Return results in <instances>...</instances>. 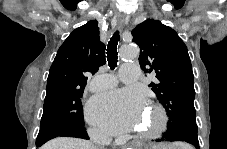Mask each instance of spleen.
<instances>
[{
	"label": "spleen",
	"instance_id": "1",
	"mask_svg": "<svg viewBox=\"0 0 227 149\" xmlns=\"http://www.w3.org/2000/svg\"><path fill=\"white\" fill-rule=\"evenodd\" d=\"M178 146H180L181 147V149H185L186 148V146L184 145V144H178Z\"/></svg>",
	"mask_w": 227,
	"mask_h": 149
}]
</instances>
